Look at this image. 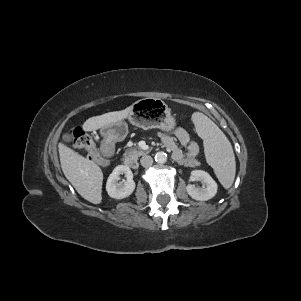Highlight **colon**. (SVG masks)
I'll return each mask as SVG.
<instances>
[{
  "instance_id": "colon-1",
  "label": "colon",
  "mask_w": 301,
  "mask_h": 301,
  "mask_svg": "<svg viewBox=\"0 0 301 301\" xmlns=\"http://www.w3.org/2000/svg\"><path fill=\"white\" fill-rule=\"evenodd\" d=\"M70 142L77 148L83 149L89 160L105 166L108 161L100 157L99 150L97 149L93 139L80 127L71 128L68 131Z\"/></svg>"
}]
</instances>
